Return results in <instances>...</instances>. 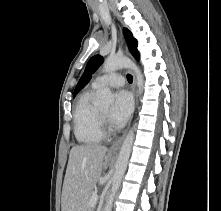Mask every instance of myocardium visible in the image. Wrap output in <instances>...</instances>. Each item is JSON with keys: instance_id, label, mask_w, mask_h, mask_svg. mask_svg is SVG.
I'll return each instance as SVG.
<instances>
[{"instance_id": "1", "label": "myocardium", "mask_w": 221, "mask_h": 211, "mask_svg": "<svg viewBox=\"0 0 221 211\" xmlns=\"http://www.w3.org/2000/svg\"><path fill=\"white\" fill-rule=\"evenodd\" d=\"M100 119L103 121L105 119V114L99 111Z\"/></svg>"}]
</instances>
